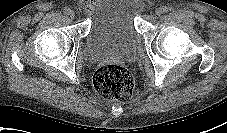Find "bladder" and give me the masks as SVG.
Returning <instances> with one entry per match:
<instances>
[{
    "mask_svg": "<svg viewBox=\"0 0 227 133\" xmlns=\"http://www.w3.org/2000/svg\"><path fill=\"white\" fill-rule=\"evenodd\" d=\"M140 5V0H102L82 45L83 58L90 62L132 58L138 43L135 17Z\"/></svg>",
    "mask_w": 227,
    "mask_h": 133,
    "instance_id": "obj_1",
    "label": "bladder"
}]
</instances>
